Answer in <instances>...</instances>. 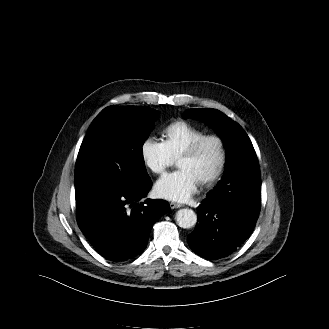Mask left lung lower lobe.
I'll return each instance as SVG.
<instances>
[{"label": "left lung lower lobe", "mask_w": 329, "mask_h": 329, "mask_svg": "<svg viewBox=\"0 0 329 329\" xmlns=\"http://www.w3.org/2000/svg\"><path fill=\"white\" fill-rule=\"evenodd\" d=\"M223 188V198H206L197 207L199 223L188 235L190 248L203 258L232 254L252 233L260 212L259 164Z\"/></svg>", "instance_id": "1"}]
</instances>
